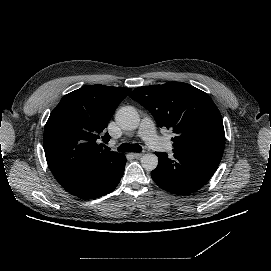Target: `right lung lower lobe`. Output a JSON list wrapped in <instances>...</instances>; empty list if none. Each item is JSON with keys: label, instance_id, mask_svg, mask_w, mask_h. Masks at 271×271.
Masks as SVG:
<instances>
[{"label": "right lung lower lobe", "instance_id": "right-lung-lower-lobe-1", "mask_svg": "<svg viewBox=\"0 0 271 271\" xmlns=\"http://www.w3.org/2000/svg\"><path fill=\"white\" fill-rule=\"evenodd\" d=\"M126 157L121 155L118 162L109 168H104L82 183L67 190L70 194L81 199H93L112 192L119 184L124 173Z\"/></svg>", "mask_w": 271, "mask_h": 271}]
</instances>
